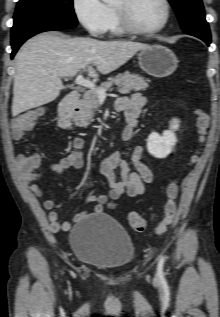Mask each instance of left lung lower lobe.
<instances>
[{
    "mask_svg": "<svg viewBox=\"0 0 220 317\" xmlns=\"http://www.w3.org/2000/svg\"><path fill=\"white\" fill-rule=\"evenodd\" d=\"M184 33L195 36L203 40L207 45H210L211 43L210 31H203L200 29H188V30H184Z\"/></svg>",
    "mask_w": 220,
    "mask_h": 317,
    "instance_id": "1",
    "label": "left lung lower lobe"
}]
</instances>
